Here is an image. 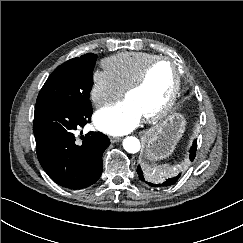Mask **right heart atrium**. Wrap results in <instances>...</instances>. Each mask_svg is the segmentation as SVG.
I'll use <instances>...</instances> for the list:
<instances>
[{
  "label": "right heart atrium",
  "mask_w": 243,
  "mask_h": 243,
  "mask_svg": "<svg viewBox=\"0 0 243 243\" xmlns=\"http://www.w3.org/2000/svg\"><path fill=\"white\" fill-rule=\"evenodd\" d=\"M123 89L115 81L113 76L106 70H96L92 75V85L90 89V98L97 107L119 98Z\"/></svg>",
  "instance_id": "1"
}]
</instances>
